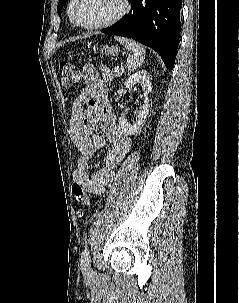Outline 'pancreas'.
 <instances>
[{"label": "pancreas", "instance_id": "obj_1", "mask_svg": "<svg viewBox=\"0 0 239 303\" xmlns=\"http://www.w3.org/2000/svg\"><path fill=\"white\" fill-rule=\"evenodd\" d=\"M100 68L102 71L103 80H104V82H106L108 84H110L114 78H117L120 75V72H118V73L114 72L113 69H109L105 66H101Z\"/></svg>", "mask_w": 239, "mask_h": 303}]
</instances>
